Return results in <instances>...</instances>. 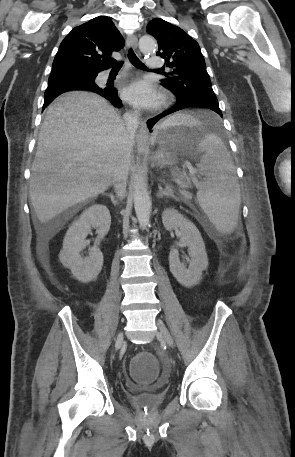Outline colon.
Segmentation results:
<instances>
[{
	"label": "colon",
	"instance_id": "5ec220e1",
	"mask_svg": "<svg viewBox=\"0 0 295 457\" xmlns=\"http://www.w3.org/2000/svg\"><path fill=\"white\" fill-rule=\"evenodd\" d=\"M131 363L134 383H155L158 372L153 351H134Z\"/></svg>",
	"mask_w": 295,
	"mask_h": 457
}]
</instances>
